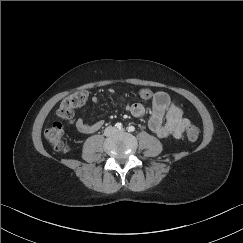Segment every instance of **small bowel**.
I'll return each mask as SVG.
<instances>
[{
	"instance_id": "c3829d8e",
	"label": "small bowel",
	"mask_w": 243,
	"mask_h": 243,
	"mask_svg": "<svg viewBox=\"0 0 243 243\" xmlns=\"http://www.w3.org/2000/svg\"><path fill=\"white\" fill-rule=\"evenodd\" d=\"M109 94L114 93L113 89L108 90ZM140 97L142 99L152 98V109L151 115L148 121L150 130L159 138L167 136L180 137L187 126L189 120L184 118L182 108L171 101L168 93L164 91H158L154 94L148 89H142L140 91ZM100 100L98 95H92L91 101L98 103ZM124 107L127 112L133 117H142L146 108L142 103H124ZM165 118V122H164ZM76 128L85 134L94 133L99 130L103 125L104 121L99 120L94 123H88L83 118H79L76 123Z\"/></svg>"
}]
</instances>
